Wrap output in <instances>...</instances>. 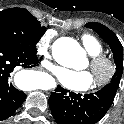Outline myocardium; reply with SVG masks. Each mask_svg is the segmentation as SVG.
<instances>
[{"label": "myocardium", "instance_id": "myocardium-1", "mask_svg": "<svg viewBox=\"0 0 124 124\" xmlns=\"http://www.w3.org/2000/svg\"><path fill=\"white\" fill-rule=\"evenodd\" d=\"M89 66L94 74V85L97 88L106 86L116 71L114 62L103 54L91 55Z\"/></svg>", "mask_w": 124, "mask_h": 124}]
</instances>
